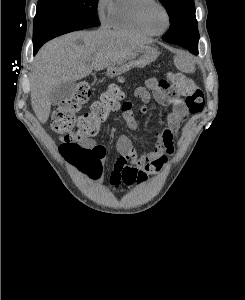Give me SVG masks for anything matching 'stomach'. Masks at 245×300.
Returning a JSON list of instances; mask_svg holds the SVG:
<instances>
[{"label": "stomach", "mask_w": 245, "mask_h": 300, "mask_svg": "<svg viewBox=\"0 0 245 300\" xmlns=\"http://www.w3.org/2000/svg\"><path fill=\"white\" fill-rule=\"evenodd\" d=\"M158 55V51L153 47H140L127 55L125 58L108 66L106 74L109 77H115L129 71L134 67L143 68L154 62Z\"/></svg>", "instance_id": "1"}]
</instances>
